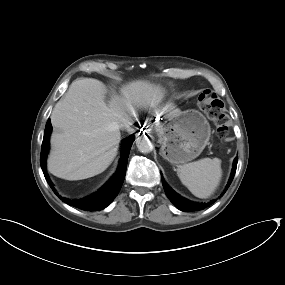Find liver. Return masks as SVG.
<instances>
[{"instance_id": "1", "label": "liver", "mask_w": 285, "mask_h": 285, "mask_svg": "<svg viewBox=\"0 0 285 285\" xmlns=\"http://www.w3.org/2000/svg\"><path fill=\"white\" fill-rule=\"evenodd\" d=\"M106 104L104 86L93 78L72 82L65 97L57 102L51 122L59 132L51 136L48 170L65 180H82L105 171L114 160L120 142L124 118L136 108L155 107L162 99L159 86L137 80L121 90ZM179 109L166 105L165 117Z\"/></svg>"}]
</instances>
